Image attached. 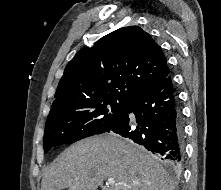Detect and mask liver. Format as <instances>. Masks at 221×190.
<instances>
[{"instance_id": "6515ba94", "label": "liver", "mask_w": 221, "mask_h": 190, "mask_svg": "<svg viewBox=\"0 0 221 190\" xmlns=\"http://www.w3.org/2000/svg\"><path fill=\"white\" fill-rule=\"evenodd\" d=\"M107 178L115 184L104 185ZM98 186L102 190H173L174 182L151 154L113 133L65 149L41 182V190H97Z\"/></svg>"}]
</instances>
